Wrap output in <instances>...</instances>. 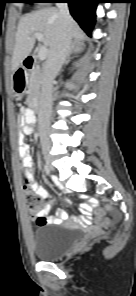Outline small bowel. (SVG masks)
Returning <instances> with one entry per match:
<instances>
[{"instance_id": "small-bowel-1", "label": "small bowel", "mask_w": 136, "mask_h": 296, "mask_svg": "<svg viewBox=\"0 0 136 296\" xmlns=\"http://www.w3.org/2000/svg\"><path fill=\"white\" fill-rule=\"evenodd\" d=\"M34 115L30 109H25L23 114L19 116L18 122L22 128L23 135H30L33 132V124H34ZM19 152L21 157V163L23 167V176L27 182V184L31 187V189L41 198H46L48 196V192L39 185L36 181L34 173H33V157L31 155L30 147L28 144L24 143L22 139L20 140ZM51 211V205H45L42 210L39 212L40 216H44L46 221L43 225L48 224H59L63 220L68 218V213L65 210H59L55 216H49ZM82 212V222L85 224H90L92 222L93 215V206L90 203H85L81 206ZM95 219L99 225L105 226L108 225V220L106 219V215L103 211L97 210L95 211Z\"/></svg>"}]
</instances>
